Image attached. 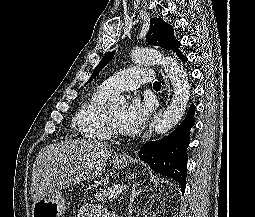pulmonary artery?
Segmentation results:
<instances>
[{
    "mask_svg": "<svg viewBox=\"0 0 255 217\" xmlns=\"http://www.w3.org/2000/svg\"><path fill=\"white\" fill-rule=\"evenodd\" d=\"M153 73L150 69L143 67L127 68L106 79L102 86L110 94L120 91H130L138 88L141 84L151 82Z\"/></svg>",
    "mask_w": 255,
    "mask_h": 217,
    "instance_id": "obj_1",
    "label": "pulmonary artery"
}]
</instances>
